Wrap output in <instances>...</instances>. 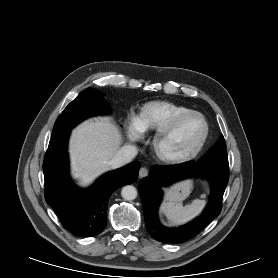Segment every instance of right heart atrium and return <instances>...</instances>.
I'll return each mask as SVG.
<instances>
[{
    "label": "right heart atrium",
    "mask_w": 278,
    "mask_h": 278,
    "mask_svg": "<svg viewBox=\"0 0 278 278\" xmlns=\"http://www.w3.org/2000/svg\"><path fill=\"white\" fill-rule=\"evenodd\" d=\"M127 133L131 140L136 141L142 137V130L138 125L137 118L131 117L127 123Z\"/></svg>",
    "instance_id": "right-heart-atrium-1"
}]
</instances>
